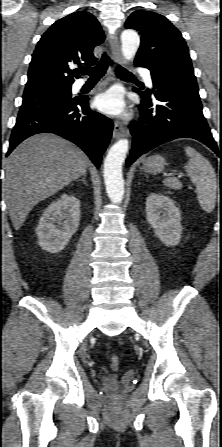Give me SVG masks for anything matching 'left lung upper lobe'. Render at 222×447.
<instances>
[{
  "label": "left lung upper lobe",
  "instance_id": "5c2ea615",
  "mask_svg": "<svg viewBox=\"0 0 222 447\" xmlns=\"http://www.w3.org/2000/svg\"><path fill=\"white\" fill-rule=\"evenodd\" d=\"M125 27L141 35L135 63L145 65L155 80L166 81L200 98L188 47L179 30L166 17L137 10L128 17Z\"/></svg>",
  "mask_w": 222,
  "mask_h": 447
}]
</instances>
